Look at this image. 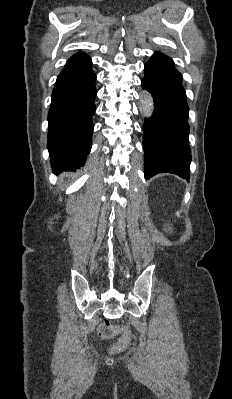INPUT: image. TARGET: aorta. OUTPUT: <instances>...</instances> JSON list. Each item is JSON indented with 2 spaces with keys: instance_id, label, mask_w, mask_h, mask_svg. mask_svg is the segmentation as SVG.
<instances>
[{
  "instance_id": "762f6f07",
  "label": "aorta",
  "mask_w": 232,
  "mask_h": 399,
  "mask_svg": "<svg viewBox=\"0 0 232 399\" xmlns=\"http://www.w3.org/2000/svg\"><path fill=\"white\" fill-rule=\"evenodd\" d=\"M141 107H142V112L145 116L150 117L152 115L154 110V102L152 95L149 94L148 92H143L141 98Z\"/></svg>"
}]
</instances>
